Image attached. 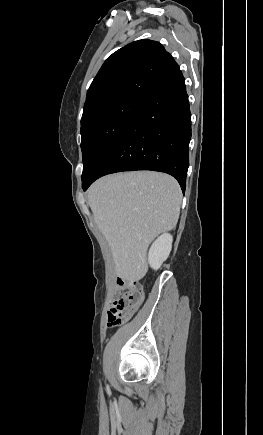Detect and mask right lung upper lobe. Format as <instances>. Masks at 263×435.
Instances as JSON below:
<instances>
[{
	"label": "right lung upper lobe",
	"mask_w": 263,
	"mask_h": 435,
	"mask_svg": "<svg viewBox=\"0 0 263 435\" xmlns=\"http://www.w3.org/2000/svg\"><path fill=\"white\" fill-rule=\"evenodd\" d=\"M181 70L164 47L138 40L114 52L91 83L82 120L95 108L120 100L145 102Z\"/></svg>",
	"instance_id": "obj_1"
}]
</instances>
